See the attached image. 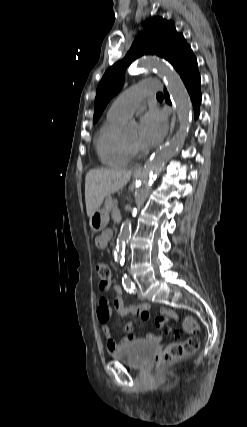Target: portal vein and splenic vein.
I'll use <instances>...</instances> for the list:
<instances>
[{
  "label": "portal vein and splenic vein",
  "instance_id": "obj_1",
  "mask_svg": "<svg viewBox=\"0 0 247 427\" xmlns=\"http://www.w3.org/2000/svg\"><path fill=\"white\" fill-rule=\"evenodd\" d=\"M114 202L117 203L118 202L117 199H115Z\"/></svg>",
  "mask_w": 247,
  "mask_h": 427
}]
</instances>
